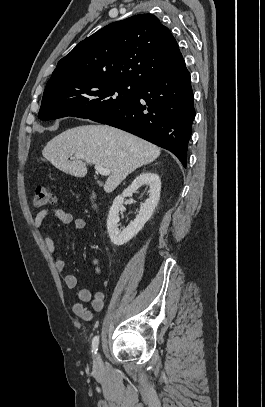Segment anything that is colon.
Segmentation results:
<instances>
[{
    "label": "colon",
    "instance_id": "obj_1",
    "mask_svg": "<svg viewBox=\"0 0 265 407\" xmlns=\"http://www.w3.org/2000/svg\"><path fill=\"white\" fill-rule=\"evenodd\" d=\"M54 195L47 185H39L36 187L34 196V205L37 207L47 206L53 203Z\"/></svg>",
    "mask_w": 265,
    "mask_h": 407
}]
</instances>
